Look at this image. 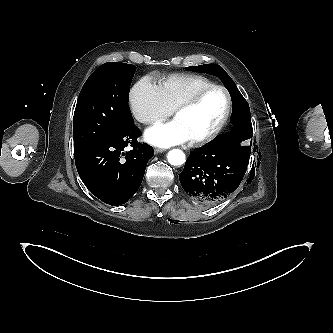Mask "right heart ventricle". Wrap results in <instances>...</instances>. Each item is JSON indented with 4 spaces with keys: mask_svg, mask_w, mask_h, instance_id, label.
Listing matches in <instances>:
<instances>
[{
    "mask_svg": "<svg viewBox=\"0 0 333 333\" xmlns=\"http://www.w3.org/2000/svg\"><path fill=\"white\" fill-rule=\"evenodd\" d=\"M214 84L209 78L199 74H171L159 81L161 94L173 111L181 102L198 90Z\"/></svg>",
    "mask_w": 333,
    "mask_h": 333,
    "instance_id": "obj_1",
    "label": "right heart ventricle"
}]
</instances>
